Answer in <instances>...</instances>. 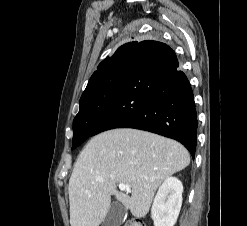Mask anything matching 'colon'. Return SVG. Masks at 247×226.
Masks as SVG:
<instances>
[{
    "label": "colon",
    "instance_id": "1",
    "mask_svg": "<svg viewBox=\"0 0 247 226\" xmlns=\"http://www.w3.org/2000/svg\"><path fill=\"white\" fill-rule=\"evenodd\" d=\"M123 226H145V224L140 219L132 218L125 222Z\"/></svg>",
    "mask_w": 247,
    "mask_h": 226
}]
</instances>
